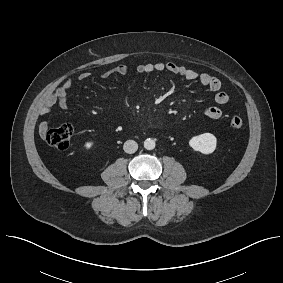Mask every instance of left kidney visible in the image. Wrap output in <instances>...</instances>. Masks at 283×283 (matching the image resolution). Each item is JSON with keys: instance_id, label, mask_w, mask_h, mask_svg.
<instances>
[{"instance_id": "obj_1", "label": "left kidney", "mask_w": 283, "mask_h": 283, "mask_svg": "<svg viewBox=\"0 0 283 283\" xmlns=\"http://www.w3.org/2000/svg\"><path fill=\"white\" fill-rule=\"evenodd\" d=\"M189 145L202 154H211L216 149L217 139L211 133H203L189 140Z\"/></svg>"}]
</instances>
